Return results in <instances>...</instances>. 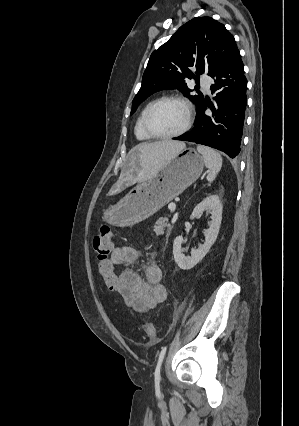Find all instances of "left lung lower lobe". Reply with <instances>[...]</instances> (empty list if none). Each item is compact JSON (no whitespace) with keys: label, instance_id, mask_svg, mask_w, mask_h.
<instances>
[{"label":"left lung lower lobe","instance_id":"obj_1","mask_svg":"<svg viewBox=\"0 0 299 426\" xmlns=\"http://www.w3.org/2000/svg\"><path fill=\"white\" fill-rule=\"evenodd\" d=\"M211 77L214 102L203 100L197 107L194 128L173 139L206 145L235 158L241 150L247 104V80L239 50L233 51ZM207 107L213 111L210 116L205 114Z\"/></svg>","mask_w":299,"mask_h":426}]
</instances>
